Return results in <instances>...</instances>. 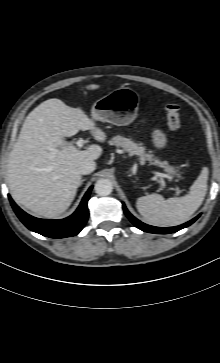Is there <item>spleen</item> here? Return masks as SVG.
Returning a JSON list of instances; mask_svg holds the SVG:
<instances>
[{"label": "spleen", "mask_w": 220, "mask_h": 363, "mask_svg": "<svg viewBox=\"0 0 220 363\" xmlns=\"http://www.w3.org/2000/svg\"><path fill=\"white\" fill-rule=\"evenodd\" d=\"M208 170L203 169L183 197L164 199L150 194L137 199L136 206L143 219L150 225L170 227L185 223L201 206L207 192Z\"/></svg>", "instance_id": "obj_1"}]
</instances>
